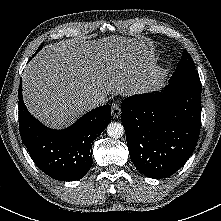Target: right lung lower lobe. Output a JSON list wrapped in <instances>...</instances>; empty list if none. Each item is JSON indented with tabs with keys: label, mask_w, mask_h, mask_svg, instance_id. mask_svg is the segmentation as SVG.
I'll list each match as a JSON object with an SVG mask.
<instances>
[{
	"label": "right lung lower lobe",
	"mask_w": 221,
	"mask_h": 221,
	"mask_svg": "<svg viewBox=\"0 0 221 221\" xmlns=\"http://www.w3.org/2000/svg\"><path fill=\"white\" fill-rule=\"evenodd\" d=\"M18 96L19 130L34 163L57 180L83 178L92 167V142L111 120L110 105L91 110L66 129L52 130L27 110L21 85Z\"/></svg>",
	"instance_id": "98d812e1"
}]
</instances>
